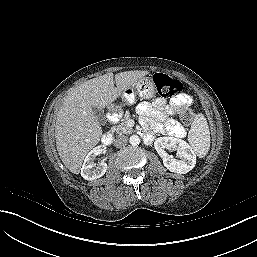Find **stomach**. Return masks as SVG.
<instances>
[{
  "instance_id": "stomach-1",
  "label": "stomach",
  "mask_w": 257,
  "mask_h": 257,
  "mask_svg": "<svg viewBox=\"0 0 257 257\" xmlns=\"http://www.w3.org/2000/svg\"><path fill=\"white\" fill-rule=\"evenodd\" d=\"M155 89L152 79L150 77H143L135 85L125 89L122 97L127 103H132L136 96L142 99H151L155 95Z\"/></svg>"
}]
</instances>
